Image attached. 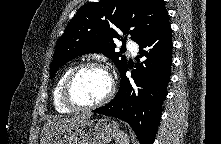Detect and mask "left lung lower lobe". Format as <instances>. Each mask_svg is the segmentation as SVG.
Listing matches in <instances>:
<instances>
[{"label":"left lung lower lobe","mask_w":221,"mask_h":144,"mask_svg":"<svg viewBox=\"0 0 221 144\" xmlns=\"http://www.w3.org/2000/svg\"><path fill=\"white\" fill-rule=\"evenodd\" d=\"M139 57L146 60L132 70L133 80L126 72L127 63L120 71V89L115 98L95 113L119 118L127 122L136 133L141 144H153L166 99L172 64V39L168 13L154 31L138 43Z\"/></svg>","instance_id":"1"}]
</instances>
